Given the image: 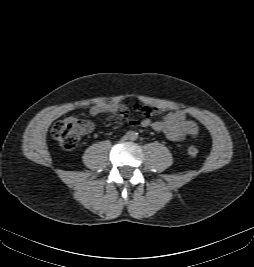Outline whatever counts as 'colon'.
<instances>
[{
	"mask_svg": "<svg viewBox=\"0 0 254 267\" xmlns=\"http://www.w3.org/2000/svg\"><path fill=\"white\" fill-rule=\"evenodd\" d=\"M92 124L85 119H79L76 117H67L59 120L52 126L51 133L55 140L67 150L74 149L81 137L90 131ZM198 148L196 146H189L187 153L191 157L198 155Z\"/></svg>",
	"mask_w": 254,
	"mask_h": 267,
	"instance_id": "obj_1",
	"label": "colon"
}]
</instances>
